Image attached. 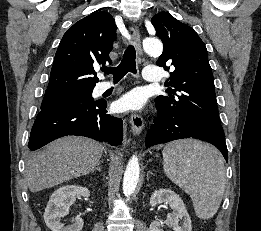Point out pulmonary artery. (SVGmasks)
Masks as SVG:
<instances>
[{
	"mask_svg": "<svg viewBox=\"0 0 261 231\" xmlns=\"http://www.w3.org/2000/svg\"><path fill=\"white\" fill-rule=\"evenodd\" d=\"M144 80L147 82L157 83L160 82V67L146 66L143 70ZM111 86L110 83H103L102 90H105Z\"/></svg>",
	"mask_w": 261,
	"mask_h": 231,
	"instance_id": "e3ab8cb5",
	"label": "pulmonary artery"
}]
</instances>
